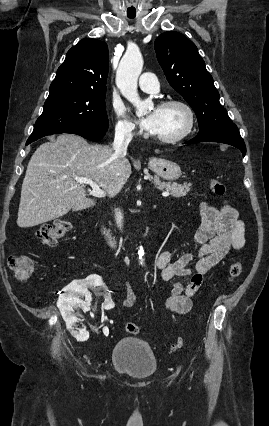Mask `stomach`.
<instances>
[{"label":"stomach","mask_w":269,"mask_h":426,"mask_svg":"<svg viewBox=\"0 0 269 426\" xmlns=\"http://www.w3.org/2000/svg\"><path fill=\"white\" fill-rule=\"evenodd\" d=\"M149 168L157 176L167 181H175L181 176L180 166L170 160L158 158L150 159Z\"/></svg>","instance_id":"obj_1"}]
</instances>
